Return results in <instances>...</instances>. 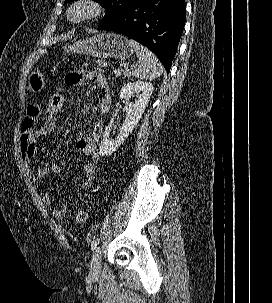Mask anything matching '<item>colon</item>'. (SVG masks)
Masks as SVG:
<instances>
[{
  "mask_svg": "<svg viewBox=\"0 0 272 303\" xmlns=\"http://www.w3.org/2000/svg\"><path fill=\"white\" fill-rule=\"evenodd\" d=\"M95 64L100 70L110 72L114 77L122 76V70L104 58H97ZM64 103V95L61 89L53 91L46 105L44 118L40 127L45 131L53 132L58 124L60 113ZM88 214L86 211H80L76 214L75 220L77 223H83L87 220Z\"/></svg>",
  "mask_w": 272,
  "mask_h": 303,
  "instance_id": "colon-1",
  "label": "colon"
}]
</instances>
